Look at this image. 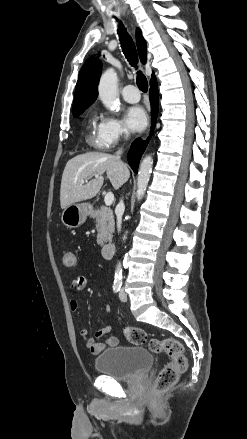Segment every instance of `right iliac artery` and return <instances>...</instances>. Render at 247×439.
Returning a JSON list of instances; mask_svg holds the SVG:
<instances>
[{
    "instance_id": "82829eb1",
    "label": "right iliac artery",
    "mask_w": 247,
    "mask_h": 439,
    "mask_svg": "<svg viewBox=\"0 0 247 439\" xmlns=\"http://www.w3.org/2000/svg\"><path fill=\"white\" fill-rule=\"evenodd\" d=\"M120 289H121V284H119V283H115V284L113 285V291H114V293L119 292Z\"/></svg>"
}]
</instances>
